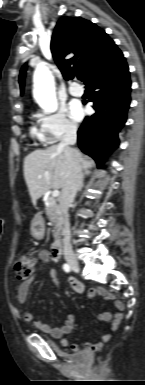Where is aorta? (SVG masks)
<instances>
[{"label": "aorta", "mask_w": 145, "mask_h": 385, "mask_svg": "<svg viewBox=\"0 0 145 385\" xmlns=\"http://www.w3.org/2000/svg\"><path fill=\"white\" fill-rule=\"evenodd\" d=\"M33 96L45 113H54L58 109L55 81L45 62L37 65L33 75Z\"/></svg>", "instance_id": "762f6f07"}]
</instances>
